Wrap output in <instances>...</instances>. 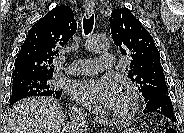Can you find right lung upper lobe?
<instances>
[{"mask_svg": "<svg viewBox=\"0 0 184 133\" xmlns=\"http://www.w3.org/2000/svg\"><path fill=\"white\" fill-rule=\"evenodd\" d=\"M76 29L77 24L70 7L57 6L49 11L28 31L16 58L12 77L52 76L53 60L59 56V50L75 34Z\"/></svg>", "mask_w": 184, "mask_h": 133, "instance_id": "right-lung-upper-lobe-1", "label": "right lung upper lobe"}]
</instances>
